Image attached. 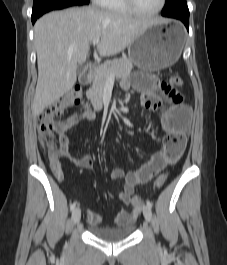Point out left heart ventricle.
<instances>
[{
	"label": "left heart ventricle",
	"mask_w": 227,
	"mask_h": 265,
	"mask_svg": "<svg viewBox=\"0 0 227 265\" xmlns=\"http://www.w3.org/2000/svg\"><path fill=\"white\" fill-rule=\"evenodd\" d=\"M161 0H135L137 7L145 12H150L158 8Z\"/></svg>",
	"instance_id": "b2bd125f"
}]
</instances>
